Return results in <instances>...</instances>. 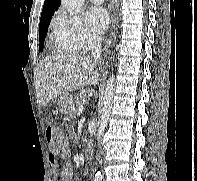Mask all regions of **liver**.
I'll use <instances>...</instances> for the list:
<instances>
[{"label": "liver", "instance_id": "liver-1", "mask_svg": "<svg viewBox=\"0 0 197 181\" xmlns=\"http://www.w3.org/2000/svg\"><path fill=\"white\" fill-rule=\"evenodd\" d=\"M89 58L75 55H52L43 58L34 69L36 99L39 106L67 91L96 85L99 74Z\"/></svg>", "mask_w": 197, "mask_h": 181}]
</instances>
